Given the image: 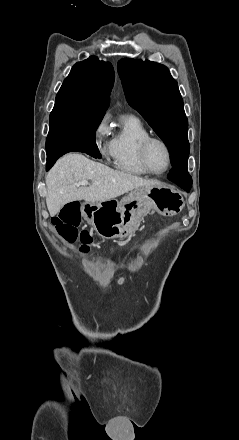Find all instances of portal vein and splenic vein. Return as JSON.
Returning <instances> with one entry per match:
<instances>
[{
    "instance_id": "1",
    "label": "portal vein and splenic vein",
    "mask_w": 239,
    "mask_h": 440,
    "mask_svg": "<svg viewBox=\"0 0 239 440\" xmlns=\"http://www.w3.org/2000/svg\"><path fill=\"white\" fill-rule=\"evenodd\" d=\"M88 184V180H81V182H78V184H75V186H88Z\"/></svg>"
}]
</instances>
